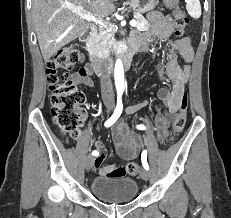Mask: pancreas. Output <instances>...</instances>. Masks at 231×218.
I'll use <instances>...</instances> for the list:
<instances>
[{
  "label": "pancreas",
  "instance_id": "obj_1",
  "mask_svg": "<svg viewBox=\"0 0 231 218\" xmlns=\"http://www.w3.org/2000/svg\"><path fill=\"white\" fill-rule=\"evenodd\" d=\"M134 18L137 21V29L139 31H147L150 28L149 22L143 17L141 13H135ZM115 28L112 24L105 27L99 26L98 31L93 35L92 41L98 51L107 50L110 48L115 35Z\"/></svg>",
  "mask_w": 231,
  "mask_h": 218
}]
</instances>
